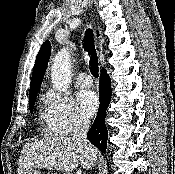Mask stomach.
<instances>
[{
    "label": "stomach",
    "instance_id": "obj_1",
    "mask_svg": "<svg viewBox=\"0 0 175 174\" xmlns=\"http://www.w3.org/2000/svg\"><path fill=\"white\" fill-rule=\"evenodd\" d=\"M24 174H41V172L36 169H30V170L25 171Z\"/></svg>",
    "mask_w": 175,
    "mask_h": 174
}]
</instances>
